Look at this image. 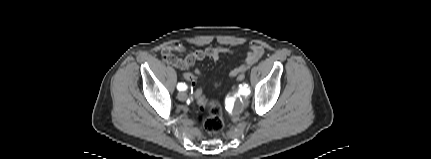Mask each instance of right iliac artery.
Wrapping results in <instances>:
<instances>
[{
    "mask_svg": "<svg viewBox=\"0 0 431 159\" xmlns=\"http://www.w3.org/2000/svg\"><path fill=\"white\" fill-rule=\"evenodd\" d=\"M177 89H178L179 91H184V90H186V89H187V86L185 85V83H179V84L177 85Z\"/></svg>",
    "mask_w": 431,
    "mask_h": 159,
    "instance_id": "obj_1",
    "label": "right iliac artery"
}]
</instances>
